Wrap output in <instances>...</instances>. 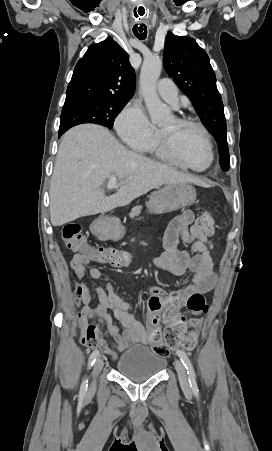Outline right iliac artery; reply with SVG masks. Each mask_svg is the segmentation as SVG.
<instances>
[{"instance_id":"82829eb1","label":"right iliac artery","mask_w":272,"mask_h":451,"mask_svg":"<svg viewBox=\"0 0 272 451\" xmlns=\"http://www.w3.org/2000/svg\"><path fill=\"white\" fill-rule=\"evenodd\" d=\"M99 355L98 351H94L92 352V354L90 355L89 358V367L93 366V364L95 363L97 357ZM87 387H88V380L85 378L81 384L80 387V391H79V399H83L86 395V391H87Z\"/></svg>"}]
</instances>
